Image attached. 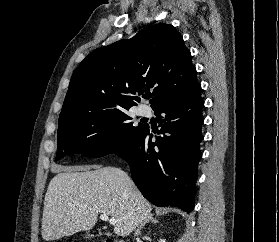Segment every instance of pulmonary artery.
Segmentation results:
<instances>
[{
	"label": "pulmonary artery",
	"instance_id": "pulmonary-artery-1",
	"mask_svg": "<svg viewBox=\"0 0 279 242\" xmlns=\"http://www.w3.org/2000/svg\"><path fill=\"white\" fill-rule=\"evenodd\" d=\"M149 113H150V109L147 106L142 105L139 107V114L141 116H147Z\"/></svg>",
	"mask_w": 279,
	"mask_h": 242
}]
</instances>
